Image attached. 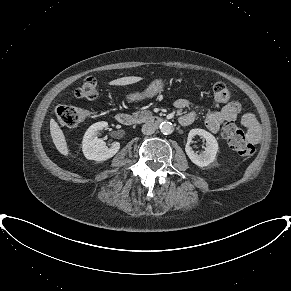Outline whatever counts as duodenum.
<instances>
[{"mask_svg": "<svg viewBox=\"0 0 291 291\" xmlns=\"http://www.w3.org/2000/svg\"><path fill=\"white\" fill-rule=\"evenodd\" d=\"M116 120L122 125H131L134 121V118L128 113H118L116 115ZM149 120L154 124H160L162 119L159 117H150Z\"/></svg>", "mask_w": 291, "mask_h": 291, "instance_id": "obj_1", "label": "duodenum"}]
</instances>
